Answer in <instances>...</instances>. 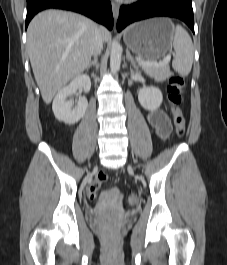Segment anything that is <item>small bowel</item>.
<instances>
[{"label": "small bowel", "mask_w": 227, "mask_h": 265, "mask_svg": "<svg viewBox=\"0 0 227 265\" xmlns=\"http://www.w3.org/2000/svg\"><path fill=\"white\" fill-rule=\"evenodd\" d=\"M146 120L155 129L160 139L165 140L168 138L171 132V123L166 112L162 110L150 111L146 113Z\"/></svg>", "instance_id": "1"}]
</instances>
